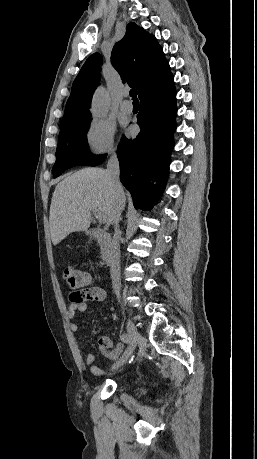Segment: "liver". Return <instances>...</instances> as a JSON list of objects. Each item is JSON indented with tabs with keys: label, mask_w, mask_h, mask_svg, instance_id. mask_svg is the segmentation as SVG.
Here are the masks:
<instances>
[{
	"label": "liver",
	"mask_w": 257,
	"mask_h": 459,
	"mask_svg": "<svg viewBox=\"0 0 257 459\" xmlns=\"http://www.w3.org/2000/svg\"><path fill=\"white\" fill-rule=\"evenodd\" d=\"M125 196V195H124ZM115 194L107 170L84 168L59 182L50 206V233L56 246L72 232L86 231L91 224V211L98 210L107 226L112 223Z\"/></svg>",
	"instance_id": "6515ba94"
}]
</instances>
